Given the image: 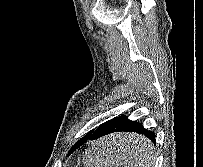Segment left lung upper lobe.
<instances>
[{"label": "left lung upper lobe", "mask_w": 203, "mask_h": 167, "mask_svg": "<svg viewBox=\"0 0 203 167\" xmlns=\"http://www.w3.org/2000/svg\"><path fill=\"white\" fill-rule=\"evenodd\" d=\"M92 132H93V131L89 132L86 136H89ZM86 136H84V137H86Z\"/></svg>", "instance_id": "obj_1"}]
</instances>
